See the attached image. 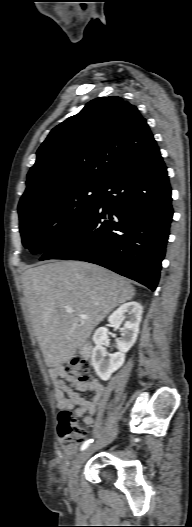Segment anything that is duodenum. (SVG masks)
Wrapping results in <instances>:
<instances>
[{
	"label": "duodenum",
	"mask_w": 192,
	"mask_h": 527,
	"mask_svg": "<svg viewBox=\"0 0 192 527\" xmlns=\"http://www.w3.org/2000/svg\"><path fill=\"white\" fill-rule=\"evenodd\" d=\"M90 349H91V347L87 344V345L84 346V348H83V352H84L85 354H88V353L90 352Z\"/></svg>",
	"instance_id": "1"
}]
</instances>
